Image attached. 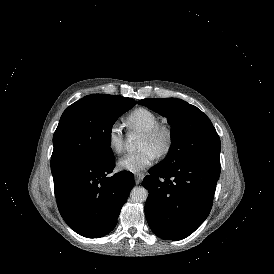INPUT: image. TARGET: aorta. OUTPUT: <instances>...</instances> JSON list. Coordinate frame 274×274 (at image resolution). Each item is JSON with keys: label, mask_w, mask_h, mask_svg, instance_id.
Returning a JSON list of instances; mask_svg holds the SVG:
<instances>
[{"label": "aorta", "mask_w": 274, "mask_h": 274, "mask_svg": "<svg viewBox=\"0 0 274 274\" xmlns=\"http://www.w3.org/2000/svg\"><path fill=\"white\" fill-rule=\"evenodd\" d=\"M140 137L137 133H130L126 139V147L134 149L139 143ZM131 198L135 202H144L148 198V191L142 186H136L131 190Z\"/></svg>", "instance_id": "762f6f07"}]
</instances>
